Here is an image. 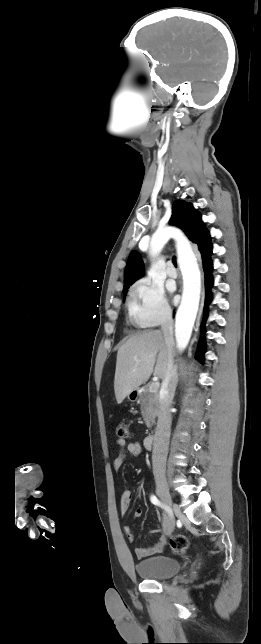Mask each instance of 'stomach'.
Returning a JSON list of instances; mask_svg holds the SVG:
<instances>
[{
  "instance_id": "1",
  "label": "stomach",
  "mask_w": 261,
  "mask_h": 644,
  "mask_svg": "<svg viewBox=\"0 0 261 644\" xmlns=\"http://www.w3.org/2000/svg\"><path fill=\"white\" fill-rule=\"evenodd\" d=\"M137 395H138V390L136 389L128 395V399L133 402L137 399Z\"/></svg>"
}]
</instances>
